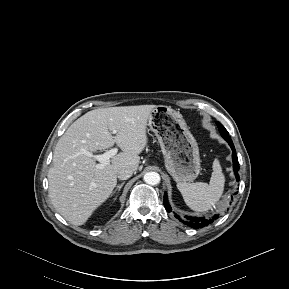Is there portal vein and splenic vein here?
<instances>
[{
    "label": "portal vein and splenic vein",
    "mask_w": 289,
    "mask_h": 289,
    "mask_svg": "<svg viewBox=\"0 0 289 289\" xmlns=\"http://www.w3.org/2000/svg\"><path fill=\"white\" fill-rule=\"evenodd\" d=\"M116 131H113V134H115ZM118 152L117 148H112L109 151H106L103 154H99V155H94L93 153L82 149L81 153L88 156V157H92L95 160H97L99 162V164L96 165L97 169L103 168L104 166L108 165L110 163V158H112L113 156H115Z\"/></svg>",
    "instance_id": "obj_1"
}]
</instances>
